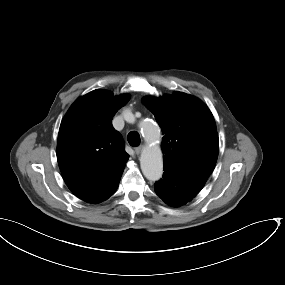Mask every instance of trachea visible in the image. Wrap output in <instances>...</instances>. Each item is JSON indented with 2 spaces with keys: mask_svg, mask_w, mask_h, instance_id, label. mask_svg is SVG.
Segmentation results:
<instances>
[{
  "mask_svg": "<svg viewBox=\"0 0 285 285\" xmlns=\"http://www.w3.org/2000/svg\"><path fill=\"white\" fill-rule=\"evenodd\" d=\"M127 140L131 146L136 147L140 144V135L136 131H131L127 136Z\"/></svg>",
  "mask_w": 285,
  "mask_h": 285,
  "instance_id": "3493384b",
  "label": "trachea"
}]
</instances>
